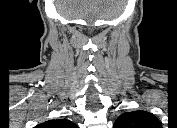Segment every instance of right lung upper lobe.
I'll return each instance as SVG.
<instances>
[{
  "mask_svg": "<svg viewBox=\"0 0 177 128\" xmlns=\"http://www.w3.org/2000/svg\"><path fill=\"white\" fill-rule=\"evenodd\" d=\"M38 128H78L76 124L66 119L49 120L37 126Z\"/></svg>",
  "mask_w": 177,
  "mask_h": 128,
  "instance_id": "1",
  "label": "right lung upper lobe"
}]
</instances>
